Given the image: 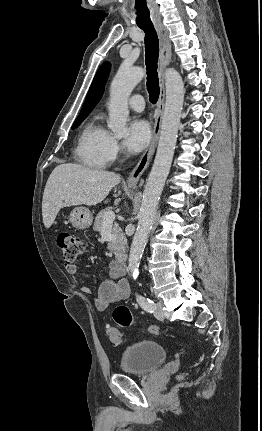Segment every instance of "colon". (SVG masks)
Listing matches in <instances>:
<instances>
[{"label":"colon","mask_w":262,"mask_h":431,"mask_svg":"<svg viewBox=\"0 0 262 431\" xmlns=\"http://www.w3.org/2000/svg\"><path fill=\"white\" fill-rule=\"evenodd\" d=\"M57 243L61 250L63 260L67 264L75 262V260L84 252V240L73 233H61L57 238ZM112 316L114 321L121 327H130L133 323V315L127 306H117L113 310ZM147 331L153 335H159L162 332L161 328L156 326L147 327ZM106 333L109 340L114 345H118L121 343L122 336L120 331L116 327L106 325Z\"/></svg>","instance_id":"1"}]
</instances>
